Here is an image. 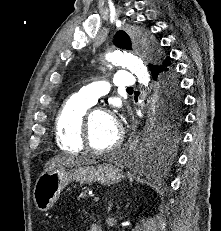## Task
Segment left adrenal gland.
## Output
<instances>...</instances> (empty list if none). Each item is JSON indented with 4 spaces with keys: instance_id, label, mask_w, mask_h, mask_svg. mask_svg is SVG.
I'll use <instances>...</instances> for the list:
<instances>
[{
    "instance_id": "obj_1",
    "label": "left adrenal gland",
    "mask_w": 221,
    "mask_h": 231,
    "mask_svg": "<svg viewBox=\"0 0 221 231\" xmlns=\"http://www.w3.org/2000/svg\"><path fill=\"white\" fill-rule=\"evenodd\" d=\"M112 207V202H109V209Z\"/></svg>"
}]
</instances>
